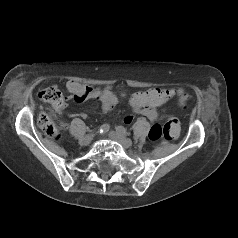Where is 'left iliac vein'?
Returning <instances> with one entry per match:
<instances>
[{
	"mask_svg": "<svg viewBox=\"0 0 238 238\" xmlns=\"http://www.w3.org/2000/svg\"><path fill=\"white\" fill-rule=\"evenodd\" d=\"M108 135L112 140L121 144L123 146V148H129L132 146V141L130 139L126 138L124 135H122L119 132L111 131V132H109Z\"/></svg>",
	"mask_w": 238,
	"mask_h": 238,
	"instance_id": "obj_1",
	"label": "left iliac vein"
}]
</instances>
